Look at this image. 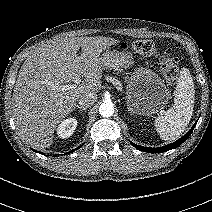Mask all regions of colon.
I'll use <instances>...</instances> for the list:
<instances>
[{"label":"colon","mask_w":212,"mask_h":212,"mask_svg":"<svg viewBox=\"0 0 212 212\" xmlns=\"http://www.w3.org/2000/svg\"><path fill=\"white\" fill-rule=\"evenodd\" d=\"M123 47L131 48L137 53L146 56L155 57L161 66L165 79L170 83H173L177 79L179 63L170 50L160 48L151 40H139L131 43L130 45L125 44Z\"/></svg>","instance_id":"5ec220e1"}]
</instances>
